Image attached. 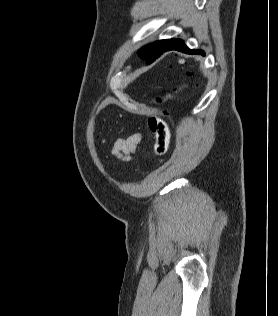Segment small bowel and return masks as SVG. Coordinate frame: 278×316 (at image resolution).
<instances>
[{
  "mask_svg": "<svg viewBox=\"0 0 278 316\" xmlns=\"http://www.w3.org/2000/svg\"><path fill=\"white\" fill-rule=\"evenodd\" d=\"M142 141L143 135L140 132L133 133L126 138H118L113 143L111 152L122 161H130L133 153Z\"/></svg>",
  "mask_w": 278,
  "mask_h": 316,
  "instance_id": "small-bowel-1",
  "label": "small bowel"
}]
</instances>
